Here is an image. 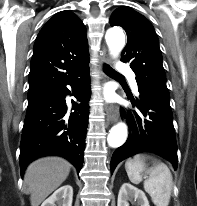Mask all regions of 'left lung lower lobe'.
Returning a JSON list of instances; mask_svg holds the SVG:
<instances>
[{
	"mask_svg": "<svg viewBox=\"0 0 197 206\" xmlns=\"http://www.w3.org/2000/svg\"><path fill=\"white\" fill-rule=\"evenodd\" d=\"M138 92L136 98L131 93L127 96L140 112L121 109L129 125V136L112 155L111 174L120 161L143 151L156 153L177 168V144L169 100L141 88Z\"/></svg>",
	"mask_w": 197,
	"mask_h": 206,
	"instance_id": "1",
	"label": "left lung lower lobe"
}]
</instances>
